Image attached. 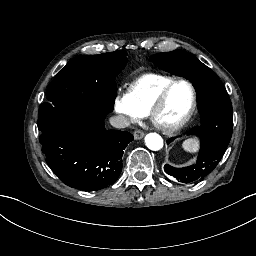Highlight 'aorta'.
I'll return each mask as SVG.
<instances>
[{"mask_svg": "<svg viewBox=\"0 0 256 256\" xmlns=\"http://www.w3.org/2000/svg\"><path fill=\"white\" fill-rule=\"evenodd\" d=\"M145 145L152 151H159L164 146V140L159 134L150 133L145 137Z\"/></svg>", "mask_w": 256, "mask_h": 256, "instance_id": "762f6f07", "label": "aorta"}]
</instances>
